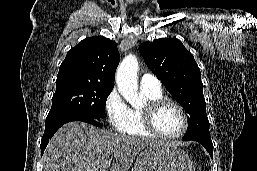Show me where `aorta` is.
I'll list each match as a JSON object with an SVG mask.
<instances>
[{"mask_svg":"<svg viewBox=\"0 0 257 171\" xmlns=\"http://www.w3.org/2000/svg\"><path fill=\"white\" fill-rule=\"evenodd\" d=\"M138 68L137 58L134 55H128L120 63L116 73L118 90L132 106L142 103V98L138 93Z\"/></svg>","mask_w":257,"mask_h":171,"instance_id":"aorta-1","label":"aorta"}]
</instances>
